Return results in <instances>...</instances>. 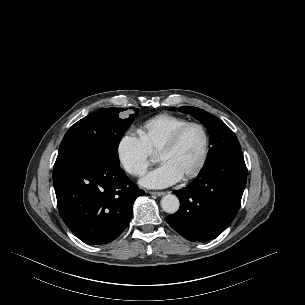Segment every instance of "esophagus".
Masks as SVG:
<instances>
[{
    "mask_svg": "<svg viewBox=\"0 0 305 305\" xmlns=\"http://www.w3.org/2000/svg\"><path fill=\"white\" fill-rule=\"evenodd\" d=\"M149 194L151 195H155V196H162L165 194V192H156V191H151L149 192Z\"/></svg>",
    "mask_w": 305,
    "mask_h": 305,
    "instance_id": "esophagus-1",
    "label": "esophagus"
}]
</instances>
